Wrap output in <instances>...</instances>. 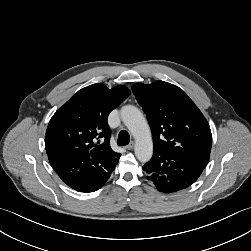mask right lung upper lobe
<instances>
[{
  "label": "right lung upper lobe",
  "mask_w": 251,
  "mask_h": 251,
  "mask_svg": "<svg viewBox=\"0 0 251 251\" xmlns=\"http://www.w3.org/2000/svg\"><path fill=\"white\" fill-rule=\"evenodd\" d=\"M130 91L123 85L108 89L102 83L75 93L51 118L45 135L48 157L69 150L75 156L97 160L113 170L121 156L110 147L109 113L119 106Z\"/></svg>",
  "instance_id": "cb5924a9"
}]
</instances>
